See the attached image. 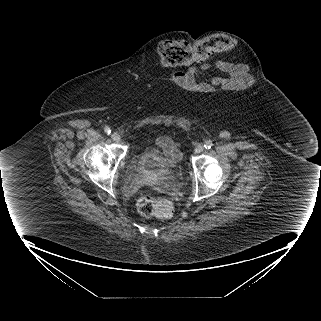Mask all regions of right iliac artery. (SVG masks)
I'll return each instance as SVG.
<instances>
[{
    "instance_id": "82829eb1",
    "label": "right iliac artery",
    "mask_w": 321,
    "mask_h": 321,
    "mask_svg": "<svg viewBox=\"0 0 321 321\" xmlns=\"http://www.w3.org/2000/svg\"><path fill=\"white\" fill-rule=\"evenodd\" d=\"M104 132L109 135V134L111 133V130H110L109 127H106V128L104 129Z\"/></svg>"
}]
</instances>
